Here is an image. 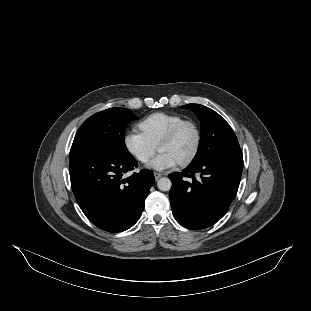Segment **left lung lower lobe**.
Segmentation results:
<instances>
[{
    "label": "left lung lower lobe",
    "instance_id": "left-lung-lower-lobe-1",
    "mask_svg": "<svg viewBox=\"0 0 311 311\" xmlns=\"http://www.w3.org/2000/svg\"><path fill=\"white\" fill-rule=\"evenodd\" d=\"M243 169L241 150L227 151L169 175L175 219L191 230L207 228L228 210L236 196ZM200 178H195V175ZM192 178L190 182L186 180Z\"/></svg>",
    "mask_w": 311,
    "mask_h": 311
}]
</instances>
